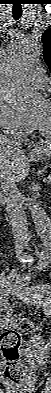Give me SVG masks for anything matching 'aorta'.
<instances>
[{"mask_svg": "<svg viewBox=\"0 0 51 393\" xmlns=\"http://www.w3.org/2000/svg\"><path fill=\"white\" fill-rule=\"evenodd\" d=\"M40 42L27 36L13 40L2 66V94L18 112L28 113L40 105V97L28 79V73L41 55ZM31 217L42 238L41 267L51 263V222L44 209L35 201L29 203Z\"/></svg>", "mask_w": 51, "mask_h": 393, "instance_id": "obj_1", "label": "aorta"}]
</instances>
